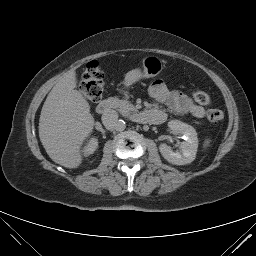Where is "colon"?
Segmentation results:
<instances>
[{"label": "colon", "instance_id": "5ec220e1", "mask_svg": "<svg viewBox=\"0 0 256 256\" xmlns=\"http://www.w3.org/2000/svg\"><path fill=\"white\" fill-rule=\"evenodd\" d=\"M103 77L104 74L97 61H91L86 65L80 91L88 100L96 102L101 99L104 91ZM192 98L201 105H209L211 102L210 96L200 90L193 91ZM206 118L209 122L217 123L223 120L224 113L219 109H209Z\"/></svg>", "mask_w": 256, "mask_h": 256}]
</instances>
